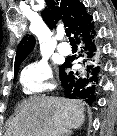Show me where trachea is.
Segmentation results:
<instances>
[{"mask_svg": "<svg viewBox=\"0 0 117 136\" xmlns=\"http://www.w3.org/2000/svg\"><path fill=\"white\" fill-rule=\"evenodd\" d=\"M65 33H66V36L69 38L70 41L74 40V39L71 37L70 31H69L68 28H66Z\"/></svg>", "mask_w": 117, "mask_h": 136, "instance_id": "obj_1", "label": "trachea"}]
</instances>
